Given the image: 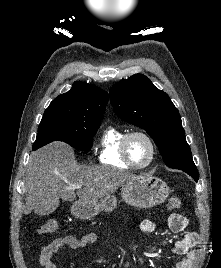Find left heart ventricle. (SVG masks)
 Returning a JSON list of instances; mask_svg holds the SVG:
<instances>
[{
    "label": "left heart ventricle",
    "mask_w": 221,
    "mask_h": 268,
    "mask_svg": "<svg viewBox=\"0 0 221 268\" xmlns=\"http://www.w3.org/2000/svg\"><path fill=\"white\" fill-rule=\"evenodd\" d=\"M129 155L131 160L137 164H145L150 158V146L141 136L133 137L129 142Z\"/></svg>",
    "instance_id": "left-heart-ventricle-1"
}]
</instances>
